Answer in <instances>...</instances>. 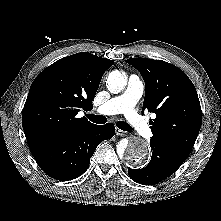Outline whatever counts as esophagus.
Instances as JSON below:
<instances>
[{
    "mask_svg": "<svg viewBox=\"0 0 221 221\" xmlns=\"http://www.w3.org/2000/svg\"><path fill=\"white\" fill-rule=\"evenodd\" d=\"M115 134L117 136H125V132L123 130L119 129V128L115 129Z\"/></svg>",
    "mask_w": 221,
    "mask_h": 221,
    "instance_id": "34e87169",
    "label": "esophagus"
}]
</instances>
